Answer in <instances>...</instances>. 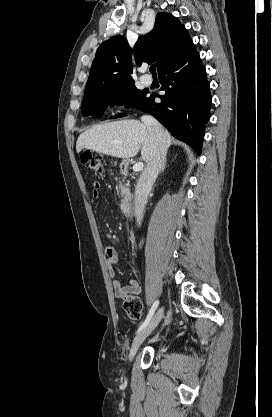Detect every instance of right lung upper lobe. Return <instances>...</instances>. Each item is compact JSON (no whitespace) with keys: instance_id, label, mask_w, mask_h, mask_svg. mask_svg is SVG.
I'll return each instance as SVG.
<instances>
[{"instance_id":"cb5924a9","label":"right lung upper lobe","mask_w":272,"mask_h":417,"mask_svg":"<svg viewBox=\"0 0 272 417\" xmlns=\"http://www.w3.org/2000/svg\"><path fill=\"white\" fill-rule=\"evenodd\" d=\"M183 25L171 14L159 13L153 30L138 38L134 55L138 65L156 62L157 71L180 54L191 42ZM131 54L126 38L114 36L97 49L85 94L134 85Z\"/></svg>"}]
</instances>
